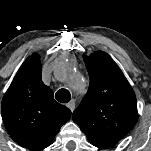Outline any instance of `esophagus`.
Here are the masks:
<instances>
[{"mask_svg":"<svg viewBox=\"0 0 151 151\" xmlns=\"http://www.w3.org/2000/svg\"><path fill=\"white\" fill-rule=\"evenodd\" d=\"M67 107L73 112L75 109V101L72 100L67 104Z\"/></svg>","mask_w":151,"mask_h":151,"instance_id":"esophagus-1","label":"esophagus"}]
</instances>
